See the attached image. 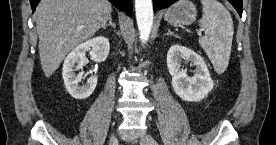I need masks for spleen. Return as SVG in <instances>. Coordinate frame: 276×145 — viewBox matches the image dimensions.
Wrapping results in <instances>:
<instances>
[{
    "instance_id": "spleen-1",
    "label": "spleen",
    "mask_w": 276,
    "mask_h": 145,
    "mask_svg": "<svg viewBox=\"0 0 276 145\" xmlns=\"http://www.w3.org/2000/svg\"><path fill=\"white\" fill-rule=\"evenodd\" d=\"M203 15L199 25L207 36L199 43L218 74L227 69L231 54L234 27L229 11L217 0H202Z\"/></svg>"
}]
</instances>
